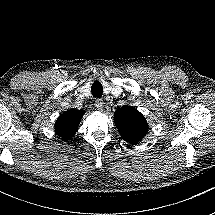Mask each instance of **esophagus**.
Masks as SVG:
<instances>
[{
	"label": "esophagus",
	"instance_id": "1",
	"mask_svg": "<svg viewBox=\"0 0 215 215\" xmlns=\"http://www.w3.org/2000/svg\"><path fill=\"white\" fill-rule=\"evenodd\" d=\"M94 106L98 109V110H102L104 108V102L102 99H97L94 103Z\"/></svg>",
	"mask_w": 215,
	"mask_h": 215
}]
</instances>
